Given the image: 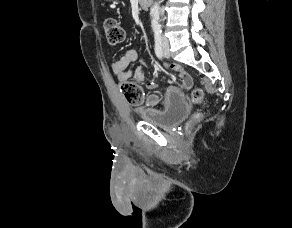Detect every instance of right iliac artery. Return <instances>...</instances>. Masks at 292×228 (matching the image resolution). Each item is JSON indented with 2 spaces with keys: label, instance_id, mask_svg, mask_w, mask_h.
<instances>
[{
  "label": "right iliac artery",
  "instance_id": "obj_1",
  "mask_svg": "<svg viewBox=\"0 0 292 228\" xmlns=\"http://www.w3.org/2000/svg\"><path fill=\"white\" fill-rule=\"evenodd\" d=\"M155 54L159 59L163 58L162 39L160 35H155Z\"/></svg>",
  "mask_w": 292,
  "mask_h": 228
}]
</instances>
